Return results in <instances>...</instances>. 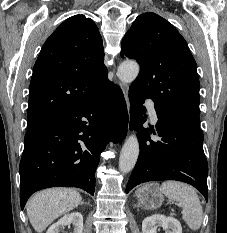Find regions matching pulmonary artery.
Wrapping results in <instances>:
<instances>
[{"instance_id":"pulmonary-artery-1","label":"pulmonary artery","mask_w":227,"mask_h":233,"mask_svg":"<svg viewBox=\"0 0 227 233\" xmlns=\"http://www.w3.org/2000/svg\"><path fill=\"white\" fill-rule=\"evenodd\" d=\"M146 106L148 108L151 119L156 122L158 120V118H157V113H156L153 101L147 100Z\"/></svg>"}]
</instances>
